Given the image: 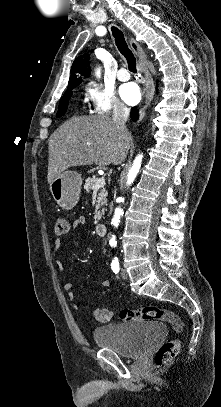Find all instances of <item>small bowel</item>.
<instances>
[{"label":"small bowel","instance_id":"c3829d8e","mask_svg":"<svg viewBox=\"0 0 221 407\" xmlns=\"http://www.w3.org/2000/svg\"><path fill=\"white\" fill-rule=\"evenodd\" d=\"M85 225H86L85 218L84 217H79L74 221L73 228L74 229H80V228H83ZM61 246H62V240L60 238H57L55 240V242H54V252L57 253L61 249ZM56 264H57L58 269L61 272H63L64 271L63 263L61 261L57 260ZM109 285H110V281L108 279L103 280V282H102L103 287H108ZM62 287H63V289L65 291L68 292V296H69L70 300L78 301L75 293L71 291L72 284L70 282H64L62 284Z\"/></svg>","mask_w":221,"mask_h":407}]
</instances>
